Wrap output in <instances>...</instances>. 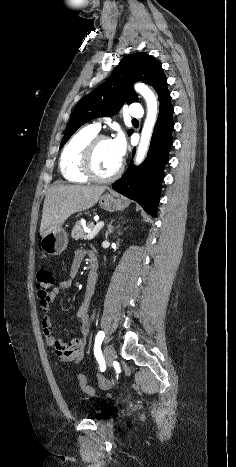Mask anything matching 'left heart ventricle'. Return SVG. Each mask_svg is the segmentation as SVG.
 Wrapping results in <instances>:
<instances>
[{"label":"left heart ventricle","instance_id":"obj_1","mask_svg":"<svg viewBox=\"0 0 236 467\" xmlns=\"http://www.w3.org/2000/svg\"><path fill=\"white\" fill-rule=\"evenodd\" d=\"M120 160L116 157L110 140L99 143L94 155V169L101 176H108L118 167Z\"/></svg>","mask_w":236,"mask_h":467}]
</instances>
